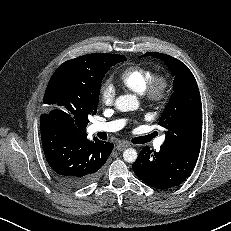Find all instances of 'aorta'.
I'll return each instance as SVG.
<instances>
[{"label": "aorta", "instance_id": "obj_1", "mask_svg": "<svg viewBox=\"0 0 231 231\" xmlns=\"http://www.w3.org/2000/svg\"><path fill=\"white\" fill-rule=\"evenodd\" d=\"M115 107L121 112L134 111L138 109L139 102L135 95H121L116 99ZM137 157V151L133 148H128L123 152V159L128 163L135 162Z\"/></svg>", "mask_w": 231, "mask_h": 231}]
</instances>
